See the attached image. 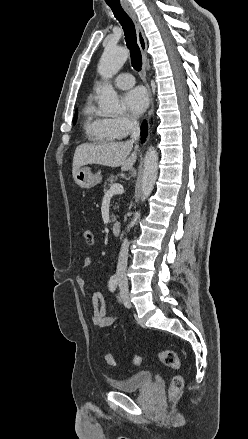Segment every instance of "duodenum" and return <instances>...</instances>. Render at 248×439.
Returning <instances> with one entry per match:
<instances>
[{
  "label": "duodenum",
  "mask_w": 248,
  "mask_h": 439,
  "mask_svg": "<svg viewBox=\"0 0 248 439\" xmlns=\"http://www.w3.org/2000/svg\"><path fill=\"white\" fill-rule=\"evenodd\" d=\"M122 227L123 225L120 221H115L111 225V231L113 232V234L119 235L122 231Z\"/></svg>",
  "instance_id": "duodenum-1"
}]
</instances>
